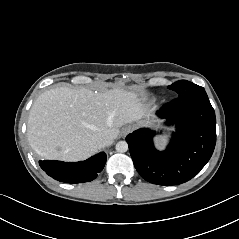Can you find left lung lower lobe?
I'll list each match as a JSON object with an SVG mask.
<instances>
[{"mask_svg":"<svg viewBox=\"0 0 239 239\" xmlns=\"http://www.w3.org/2000/svg\"><path fill=\"white\" fill-rule=\"evenodd\" d=\"M157 115L176 132L165 151L154 148V132L139 129L126 141L138 173L157 185H177L192 179L209 161L216 143V118L205 90L178 97Z\"/></svg>","mask_w":239,"mask_h":239,"instance_id":"0a47b994","label":"left lung lower lobe"}]
</instances>
